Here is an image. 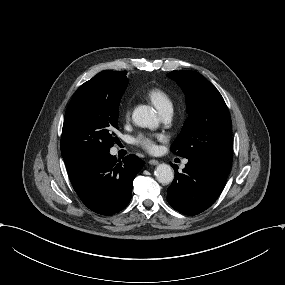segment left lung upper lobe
<instances>
[{
	"instance_id": "obj_1",
	"label": "left lung upper lobe",
	"mask_w": 285,
	"mask_h": 285,
	"mask_svg": "<svg viewBox=\"0 0 285 285\" xmlns=\"http://www.w3.org/2000/svg\"><path fill=\"white\" fill-rule=\"evenodd\" d=\"M185 93L187 113L172 152L191 158H216L232 162V123L228 108L218 90L196 71L167 74Z\"/></svg>"
}]
</instances>
